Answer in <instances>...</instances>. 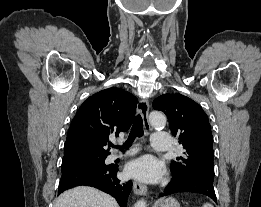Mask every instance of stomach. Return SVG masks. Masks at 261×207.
Segmentation results:
<instances>
[{
  "label": "stomach",
  "mask_w": 261,
  "mask_h": 207,
  "mask_svg": "<svg viewBox=\"0 0 261 207\" xmlns=\"http://www.w3.org/2000/svg\"><path fill=\"white\" fill-rule=\"evenodd\" d=\"M154 207H180V204L175 198L168 197L157 201Z\"/></svg>",
  "instance_id": "stomach-1"
}]
</instances>
